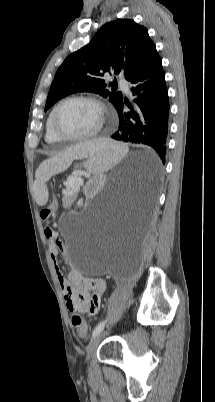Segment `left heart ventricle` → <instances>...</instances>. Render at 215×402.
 Returning <instances> with one entry per match:
<instances>
[{
	"label": "left heart ventricle",
	"mask_w": 215,
	"mask_h": 402,
	"mask_svg": "<svg viewBox=\"0 0 215 402\" xmlns=\"http://www.w3.org/2000/svg\"><path fill=\"white\" fill-rule=\"evenodd\" d=\"M101 119L99 108L86 101H70L57 113L59 129L68 135H83L97 128Z\"/></svg>",
	"instance_id": "b2bd125f"
}]
</instances>
